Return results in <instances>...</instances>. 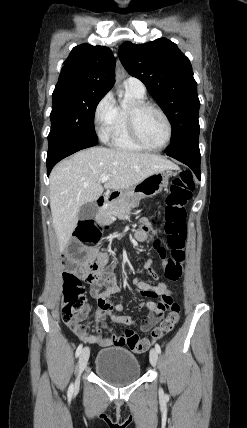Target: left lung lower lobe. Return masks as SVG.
I'll use <instances>...</instances> for the list:
<instances>
[{"label": "left lung lower lobe", "mask_w": 247, "mask_h": 428, "mask_svg": "<svg viewBox=\"0 0 247 428\" xmlns=\"http://www.w3.org/2000/svg\"><path fill=\"white\" fill-rule=\"evenodd\" d=\"M165 153L188 165L200 180V150L199 141H192L179 146H170Z\"/></svg>", "instance_id": "1"}]
</instances>
